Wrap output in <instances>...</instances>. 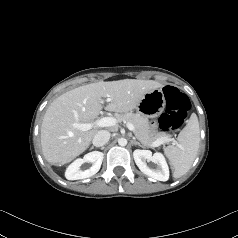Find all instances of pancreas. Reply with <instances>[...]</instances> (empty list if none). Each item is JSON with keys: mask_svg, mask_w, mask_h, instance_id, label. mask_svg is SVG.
<instances>
[{"mask_svg": "<svg viewBox=\"0 0 238 238\" xmlns=\"http://www.w3.org/2000/svg\"><path fill=\"white\" fill-rule=\"evenodd\" d=\"M118 122L131 123L134 127L135 136L144 144V146L152 147V144L167 137V134L159 132L151 134L148 125V119L140 114L128 112L123 114H116Z\"/></svg>", "mask_w": 238, "mask_h": 238, "instance_id": "pancreas-1", "label": "pancreas"}]
</instances>
